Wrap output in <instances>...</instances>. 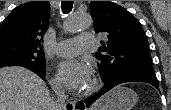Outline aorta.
Masks as SVG:
<instances>
[{
  "label": "aorta",
  "instance_id": "1",
  "mask_svg": "<svg viewBox=\"0 0 171 110\" xmlns=\"http://www.w3.org/2000/svg\"><path fill=\"white\" fill-rule=\"evenodd\" d=\"M91 23L92 19L88 14L74 13L68 18L64 27L69 32H77L89 28Z\"/></svg>",
  "mask_w": 171,
  "mask_h": 110
}]
</instances>
